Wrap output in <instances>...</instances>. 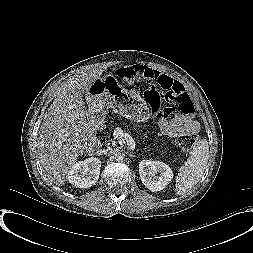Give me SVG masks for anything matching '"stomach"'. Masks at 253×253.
<instances>
[{"mask_svg":"<svg viewBox=\"0 0 253 253\" xmlns=\"http://www.w3.org/2000/svg\"><path fill=\"white\" fill-rule=\"evenodd\" d=\"M111 80L115 83L111 84ZM85 93L86 101L93 109L112 108L137 122L149 118L146 102L138 95L125 93L112 75L97 79Z\"/></svg>","mask_w":253,"mask_h":253,"instance_id":"1","label":"stomach"}]
</instances>
